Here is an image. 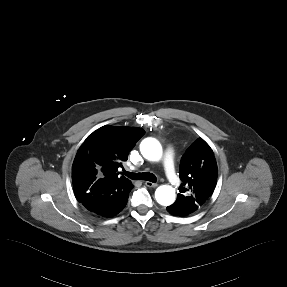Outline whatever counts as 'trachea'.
Wrapping results in <instances>:
<instances>
[{"instance_id": "1", "label": "trachea", "mask_w": 287, "mask_h": 287, "mask_svg": "<svg viewBox=\"0 0 287 287\" xmlns=\"http://www.w3.org/2000/svg\"><path fill=\"white\" fill-rule=\"evenodd\" d=\"M123 174L126 175L128 178L132 179V180H146V181H150L152 183H156L157 178L153 173H130L127 171H123Z\"/></svg>"}]
</instances>
